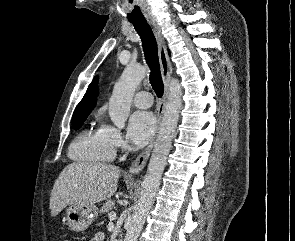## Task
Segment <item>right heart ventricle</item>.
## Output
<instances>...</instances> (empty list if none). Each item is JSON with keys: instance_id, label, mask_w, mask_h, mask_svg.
<instances>
[{"instance_id": "obj_1", "label": "right heart ventricle", "mask_w": 295, "mask_h": 241, "mask_svg": "<svg viewBox=\"0 0 295 241\" xmlns=\"http://www.w3.org/2000/svg\"><path fill=\"white\" fill-rule=\"evenodd\" d=\"M114 155L115 150L105 126L83 130L74 139L69 149L71 159L89 164L109 162Z\"/></svg>"}]
</instances>
